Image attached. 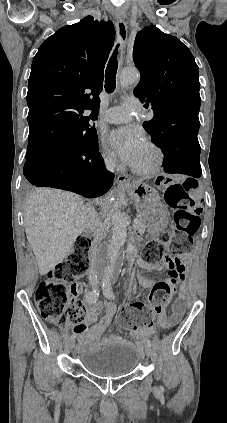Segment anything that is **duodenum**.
Masks as SVG:
<instances>
[{"mask_svg":"<svg viewBox=\"0 0 227 423\" xmlns=\"http://www.w3.org/2000/svg\"><path fill=\"white\" fill-rule=\"evenodd\" d=\"M127 253H128V254H130L132 258H134V257H135V255H136V251H135V249H134V247H133V246H130V247L127 249Z\"/></svg>","mask_w":227,"mask_h":423,"instance_id":"obj_1","label":"duodenum"}]
</instances>
